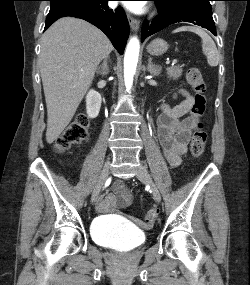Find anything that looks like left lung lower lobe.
Masks as SVG:
<instances>
[{
	"label": "left lung lower lobe",
	"instance_id": "left-lung-lower-lobe-1",
	"mask_svg": "<svg viewBox=\"0 0 250 285\" xmlns=\"http://www.w3.org/2000/svg\"><path fill=\"white\" fill-rule=\"evenodd\" d=\"M155 2L158 7L159 15H157L150 24L147 21L143 23L141 30L142 42L148 36L161 31L171 24L179 22H190L201 26L208 29L216 36V28L212 18V10L196 5H188L175 11L165 12L157 1Z\"/></svg>",
	"mask_w": 250,
	"mask_h": 285
}]
</instances>
